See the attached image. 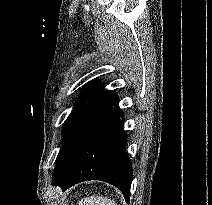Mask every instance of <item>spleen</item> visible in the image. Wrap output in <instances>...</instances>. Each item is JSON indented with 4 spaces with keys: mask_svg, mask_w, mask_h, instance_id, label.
<instances>
[{
    "mask_svg": "<svg viewBox=\"0 0 212 205\" xmlns=\"http://www.w3.org/2000/svg\"><path fill=\"white\" fill-rule=\"evenodd\" d=\"M78 205H117L114 200L103 196H90L79 201Z\"/></svg>",
    "mask_w": 212,
    "mask_h": 205,
    "instance_id": "3e777b00",
    "label": "spleen"
}]
</instances>
